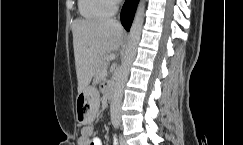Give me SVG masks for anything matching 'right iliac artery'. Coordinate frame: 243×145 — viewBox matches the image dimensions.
Instances as JSON below:
<instances>
[{"label": "right iliac artery", "mask_w": 243, "mask_h": 145, "mask_svg": "<svg viewBox=\"0 0 243 145\" xmlns=\"http://www.w3.org/2000/svg\"><path fill=\"white\" fill-rule=\"evenodd\" d=\"M117 126H118L117 124L114 125L115 128H117Z\"/></svg>", "instance_id": "obj_1"}]
</instances>
